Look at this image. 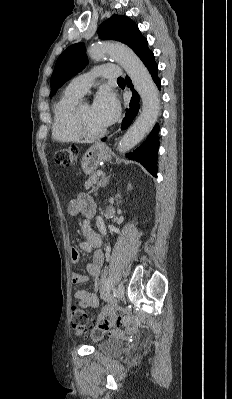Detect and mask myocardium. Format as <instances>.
Here are the masks:
<instances>
[{
  "label": "myocardium",
  "mask_w": 232,
  "mask_h": 399,
  "mask_svg": "<svg viewBox=\"0 0 232 399\" xmlns=\"http://www.w3.org/2000/svg\"><path fill=\"white\" fill-rule=\"evenodd\" d=\"M73 123H74V127L75 130L77 131V133L86 140H91V141H96L99 139H102L103 137H105L108 133H109V129L101 132V133H91L89 132L81 119V116L79 114V108L77 110H75L74 112V116H73Z\"/></svg>",
  "instance_id": "1"
}]
</instances>
